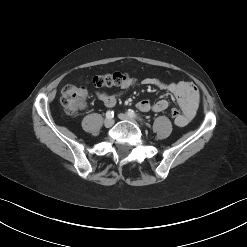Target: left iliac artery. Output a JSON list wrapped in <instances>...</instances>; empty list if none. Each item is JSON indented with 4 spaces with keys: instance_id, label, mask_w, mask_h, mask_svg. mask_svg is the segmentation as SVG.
Returning <instances> with one entry per match:
<instances>
[{
    "instance_id": "left-iliac-artery-1",
    "label": "left iliac artery",
    "mask_w": 247,
    "mask_h": 247,
    "mask_svg": "<svg viewBox=\"0 0 247 247\" xmlns=\"http://www.w3.org/2000/svg\"><path fill=\"white\" fill-rule=\"evenodd\" d=\"M128 115L134 118H138L139 120H142L140 117L137 116V114L132 109L128 110Z\"/></svg>"
}]
</instances>
